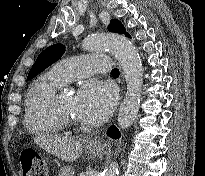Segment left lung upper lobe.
<instances>
[{"mask_svg":"<svg viewBox=\"0 0 205 176\" xmlns=\"http://www.w3.org/2000/svg\"><path fill=\"white\" fill-rule=\"evenodd\" d=\"M108 30L110 32L125 34L126 36L129 35L126 32L122 23L116 19H112L110 21ZM64 52H65V47L62 44H54L48 47L47 49H45L37 57L35 64L33 65V67L30 69L28 73L27 79L32 78L33 76H35L36 74L43 71L45 68H47L54 62H56L58 59L61 58Z\"/></svg>","mask_w":205,"mask_h":176,"instance_id":"left-lung-upper-lobe-1","label":"left lung upper lobe"}]
</instances>
